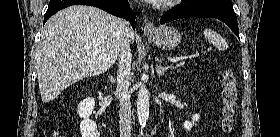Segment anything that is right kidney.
<instances>
[{
	"label": "right kidney",
	"mask_w": 280,
	"mask_h": 137,
	"mask_svg": "<svg viewBox=\"0 0 280 137\" xmlns=\"http://www.w3.org/2000/svg\"><path fill=\"white\" fill-rule=\"evenodd\" d=\"M95 101L92 97H87L78 105L77 113L83 118L80 123L82 137H99L96 123L89 119L94 109Z\"/></svg>",
	"instance_id": "obj_1"
}]
</instances>
